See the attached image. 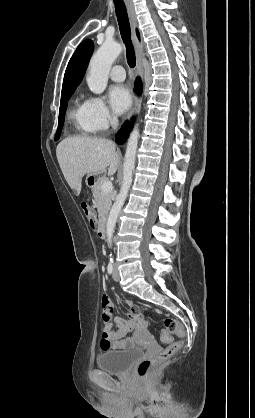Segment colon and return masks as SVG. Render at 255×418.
<instances>
[{
    "label": "colon",
    "mask_w": 255,
    "mask_h": 418,
    "mask_svg": "<svg viewBox=\"0 0 255 418\" xmlns=\"http://www.w3.org/2000/svg\"><path fill=\"white\" fill-rule=\"evenodd\" d=\"M80 206L88 223L90 226L94 227L96 223L94 211L85 201H82ZM173 335L178 337L177 341H172ZM161 337L163 341L169 343V345L155 356L143 359L139 362L137 374L140 378H147L158 365L177 353L184 344L187 332L178 320L167 318L164 321V329L161 331Z\"/></svg>",
    "instance_id": "obj_1"
}]
</instances>
